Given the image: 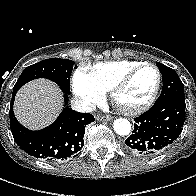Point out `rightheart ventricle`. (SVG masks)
Segmentation results:
<instances>
[{
    "instance_id": "e07e8e85",
    "label": "right heart ventricle",
    "mask_w": 196,
    "mask_h": 196,
    "mask_svg": "<svg viewBox=\"0 0 196 196\" xmlns=\"http://www.w3.org/2000/svg\"><path fill=\"white\" fill-rule=\"evenodd\" d=\"M141 61L118 60L106 61L93 65L89 74L94 82L104 91H110L114 84L128 71L142 64Z\"/></svg>"
}]
</instances>
